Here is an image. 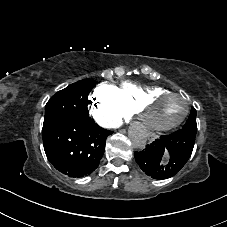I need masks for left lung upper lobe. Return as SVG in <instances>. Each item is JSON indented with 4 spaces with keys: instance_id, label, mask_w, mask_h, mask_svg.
I'll use <instances>...</instances> for the list:
<instances>
[{
    "instance_id": "5c2ea615",
    "label": "left lung upper lobe",
    "mask_w": 227,
    "mask_h": 227,
    "mask_svg": "<svg viewBox=\"0 0 227 227\" xmlns=\"http://www.w3.org/2000/svg\"><path fill=\"white\" fill-rule=\"evenodd\" d=\"M180 131L196 134L197 123H196V110L194 108L191 109L189 119L186 121L185 125L180 129Z\"/></svg>"
}]
</instances>
